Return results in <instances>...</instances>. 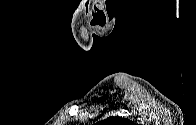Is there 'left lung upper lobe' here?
<instances>
[{
    "instance_id": "obj_1",
    "label": "left lung upper lobe",
    "mask_w": 196,
    "mask_h": 125,
    "mask_svg": "<svg viewBox=\"0 0 196 125\" xmlns=\"http://www.w3.org/2000/svg\"><path fill=\"white\" fill-rule=\"evenodd\" d=\"M131 121L121 117H109L102 121V125H131Z\"/></svg>"
}]
</instances>
